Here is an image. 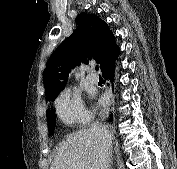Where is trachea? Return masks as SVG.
I'll list each match as a JSON object with an SVG mask.
<instances>
[{
    "label": "trachea",
    "mask_w": 177,
    "mask_h": 169,
    "mask_svg": "<svg viewBox=\"0 0 177 169\" xmlns=\"http://www.w3.org/2000/svg\"><path fill=\"white\" fill-rule=\"evenodd\" d=\"M95 69H96V70H98V69H99L98 65L95 67Z\"/></svg>",
    "instance_id": "1"
}]
</instances>
